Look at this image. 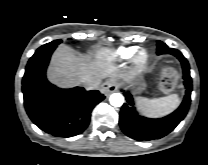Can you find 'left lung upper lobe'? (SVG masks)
I'll return each instance as SVG.
<instances>
[{"label": "left lung upper lobe", "mask_w": 208, "mask_h": 165, "mask_svg": "<svg viewBox=\"0 0 208 165\" xmlns=\"http://www.w3.org/2000/svg\"><path fill=\"white\" fill-rule=\"evenodd\" d=\"M168 47L166 44H164L161 41H157V54L159 55L161 52H163L164 50H166Z\"/></svg>", "instance_id": "1"}]
</instances>
